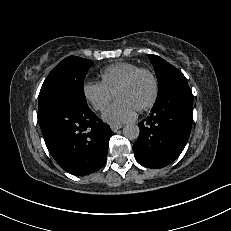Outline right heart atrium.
Here are the masks:
<instances>
[{
  "mask_svg": "<svg viewBox=\"0 0 231 231\" xmlns=\"http://www.w3.org/2000/svg\"><path fill=\"white\" fill-rule=\"evenodd\" d=\"M82 92L87 102L99 112L105 110L114 97L112 91L97 81H86L82 86Z\"/></svg>",
  "mask_w": 231,
  "mask_h": 231,
  "instance_id": "right-heart-atrium-1",
  "label": "right heart atrium"
}]
</instances>
